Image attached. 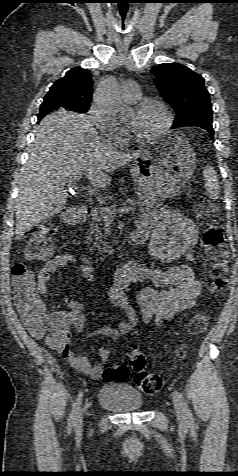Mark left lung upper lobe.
I'll return each instance as SVG.
<instances>
[{
	"label": "left lung upper lobe",
	"instance_id": "left-lung-upper-lobe-1",
	"mask_svg": "<svg viewBox=\"0 0 238 476\" xmlns=\"http://www.w3.org/2000/svg\"><path fill=\"white\" fill-rule=\"evenodd\" d=\"M151 72L161 96L177 114L171 128H212V105L200 74L178 63L160 64Z\"/></svg>",
	"mask_w": 238,
	"mask_h": 476
}]
</instances>
